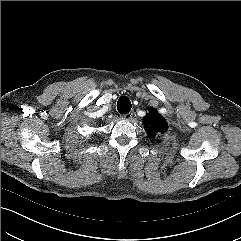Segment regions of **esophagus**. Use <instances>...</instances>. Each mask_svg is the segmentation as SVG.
I'll list each match as a JSON object with an SVG mask.
<instances>
[{
    "instance_id": "obj_1",
    "label": "esophagus",
    "mask_w": 241,
    "mask_h": 241,
    "mask_svg": "<svg viewBox=\"0 0 241 241\" xmlns=\"http://www.w3.org/2000/svg\"><path fill=\"white\" fill-rule=\"evenodd\" d=\"M132 117H133V112H129V113L121 116V118L125 119V120H130V119H132Z\"/></svg>"
}]
</instances>
